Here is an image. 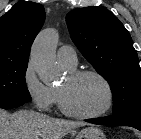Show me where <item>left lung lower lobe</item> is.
<instances>
[{"instance_id": "obj_1", "label": "left lung lower lobe", "mask_w": 141, "mask_h": 139, "mask_svg": "<svg viewBox=\"0 0 141 139\" xmlns=\"http://www.w3.org/2000/svg\"><path fill=\"white\" fill-rule=\"evenodd\" d=\"M94 124L113 125V126H130L141 131V108L129 112L113 115L105 118L85 120Z\"/></svg>"}]
</instances>
